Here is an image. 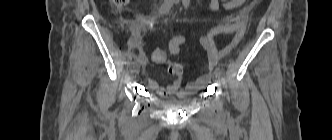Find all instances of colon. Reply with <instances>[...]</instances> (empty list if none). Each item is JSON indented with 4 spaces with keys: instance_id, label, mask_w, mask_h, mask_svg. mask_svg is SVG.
<instances>
[{
    "instance_id": "obj_1",
    "label": "colon",
    "mask_w": 332,
    "mask_h": 140,
    "mask_svg": "<svg viewBox=\"0 0 332 140\" xmlns=\"http://www.w3.org/2000/svg\"><path fill=\"white\" fill-rule=\"evenodd\" d=\"M110 1L118 8H125L129 4L130 0H110ZM261 1L262 0H253L250 9H252L255 5H257ZM154 56L157 62H164L166 58V53L162 49H157L155 50Z\"/></svg>"
}]
</instances>
